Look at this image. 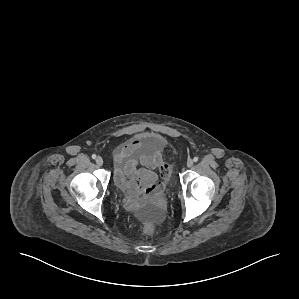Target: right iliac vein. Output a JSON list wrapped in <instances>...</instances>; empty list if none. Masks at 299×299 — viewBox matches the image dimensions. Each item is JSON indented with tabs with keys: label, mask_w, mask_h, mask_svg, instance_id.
<instances>
[{
	"label": "right iliac vein",
	"mask_w": 299,
	"mask_h": 299,
	"mask_svg": "<svg viewBox=\"0 0 299 299\" xmlns=\"http://www.w3.org/2000/svg\"><path fill=\"white\" fill-rule=\"evenodd\" d=\"M95 161H96V164L98 166H102L103 165V159L101 157H97Z\"/></svg>",
	"instance_id": "63e3f726"
}]
</instances>
